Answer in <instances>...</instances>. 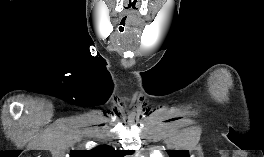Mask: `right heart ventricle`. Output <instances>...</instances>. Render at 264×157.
Returning <instances> with one entry per match:
<instances>
[{"label":"right heart ventricle","mask_w":264,"mask_h":157,"mask_svg":"<svg viewBox=\"0 0 264 157\" xmlns=\"http://www.w3.org/2000/svg\"><path fill=\"white\" fill-rule=\"evenodd\" d=\"M152 157H162V156H160V155L156 154V155H154V156H152Z\"/></svg>","instance_id":"e07e8e85"}]
</instances>
